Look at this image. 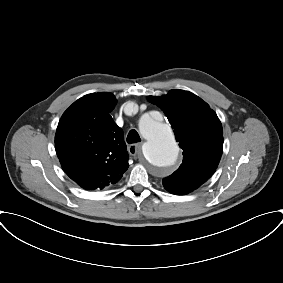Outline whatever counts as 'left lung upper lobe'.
Masks as SVG:
<instances>
[{"mask_svg":"<svg viewBox=\"0 0 283 283\" xmlns=\"http://www.w3.org/2000/svg\"><path fill=\"white\" fill-rule=\"evenodd\" d=\"M148 99L167 116L183 150V162L163 179L171 193H188L205 183L215 172L223 151V130L216 113L198 96L171 90L166 96Z\"/></svg>","mask_w":283,"mask_h":283,"instance_id":"5c2ea615","label":"left lung upper lobe"}]
</instances>
